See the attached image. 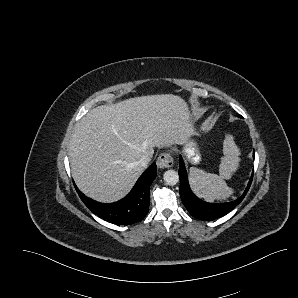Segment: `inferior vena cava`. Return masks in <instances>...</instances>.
Instances as JSON below:
<instances>
[{"label":"inferior vena cava","instance_id":"inferior-vena-cava-1","mask_svg":"<svg viewBox=\"0 0 298 298\" xmlns=\"http://www.w3.org/2000/svg\"><path fill=\"white\" fill-rule=\"evenodd\" d=\"M151 163V160L145 155L139 160V166L143 169H146L149 167Z\"/></svg>","mask_w":298,"mask_h":298}]
</instances>
